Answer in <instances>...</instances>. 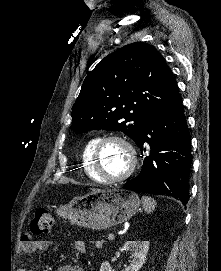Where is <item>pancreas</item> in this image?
<instances>
[{
  "mask_svg": "<svg viewBox=\"0 0 221 271\" xmlns=\"http://www.w3.org/2000/svg\"><path fill=\"white\" fill-rule=\"evenodd\" d=\"M90 244H93V247H105V244H108V239H90Z\"/></svg>",
  "mask_w": 221,
  "mask_h": 271,
  "instance_id": "obj_1",
  "label": "pancreas"
}]
</instances>
